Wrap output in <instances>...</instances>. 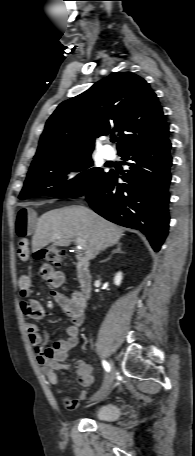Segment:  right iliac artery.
<instances>
[{"label": "right iliac artery", "instance_id": "82829eb1", "mask_svg": "<svg viewBox=\"0 0 195 456\" xmlns=\"http://www.w3.org/2000/svg\"><path fill=\"white\" fill-rule=\"evenodd\" d=\"M102 364H103L104 369H105L107 372H109L110 369H111L110 364H109L107 361H105V360L102 361Z\"/></svg>", "mask_w": 195, "mask_h": 456}]
</instances>
